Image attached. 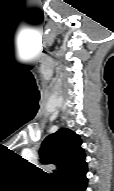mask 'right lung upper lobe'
<instances>
[{"mask_svg": "<svg viewBox=\"0 0 114 191\" xmlns=\"http://www.w3.org/2000/svg\"><path fill=\"white\" fill-rule=\"evenodd\" d=\"M82 141L75 132L61 128L42 142L39 154L44 164H54V179H62L87 168Z\"/></svg>", "mask_w": 114, "mask_h": 191, "instance_id": "obj_1", "label": "right lung upper lobe"}]
</instances>
